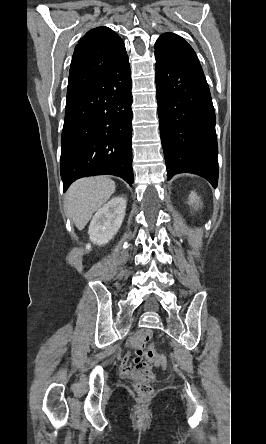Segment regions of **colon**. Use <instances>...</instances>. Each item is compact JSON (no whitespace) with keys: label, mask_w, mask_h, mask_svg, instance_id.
I'll return each instance as SVG.
<instances>
[{"label":"colon","mask_w":266,"mask_h":444,"mask_svg":"<svg viewBox=\"0 0 266 444\" xmlns=\"http://www.w3.org/2000/svg\"><path fill=\"white\" fill-rule=\"evenodd\" d=\"M144 356L146 363L151 366L166 367L168 365L167 358L164 355L158 354L152 345H149ZM135 389L140 396L148 397L151 395L153 389L148 381L139 380L135 383Z\"/></svg>","instance_id":"obj_1"}]
</instances>
